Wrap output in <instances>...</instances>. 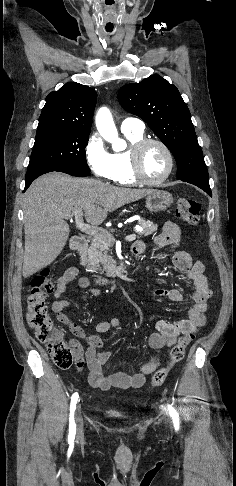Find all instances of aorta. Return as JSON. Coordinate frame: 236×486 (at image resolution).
I'll return each instance as SVG.
<instances>
[{"label": "aorta", "instance_id": "1", "mask_svg": "<svg viewBox=\"0 0 236 486\" xmlns=\"http://www.w3.org/2000/svg\"><path fill=\"white\" fill-rule=\"evenodd\" d=\"M96 127L101 136L112 144L115 151L125 148V142L118 137V132L114 124L110 111L101 108L96 115Z\"/></svg>", "mask_w": 236, "mask_h": 486}]
</instances>
